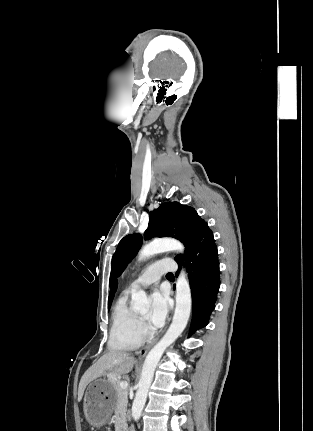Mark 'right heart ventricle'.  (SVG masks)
<instances>
[{
    "instance_id": "right-heart-ventricle-1",
    "label": "right heart ventricle",
    "mask_w": 313,
    "mask_h": 431,
    "mask_svg": "<svg viewBox=\"0 0 313 431\" xmlns=\"http://www.w3.org/2000/svg\"><path fill=\"white\" fill-rule=\"evenodd\" d=\"M140 319L125 298L116 303L112 315L109 346L114 350H133L139 347L144 335L139 330Z\"/></svg>"
}]
</instances>
